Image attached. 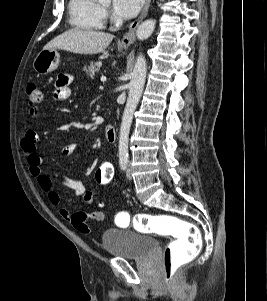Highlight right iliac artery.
<instances>
[{"label": "right iliac artery", "mask_w": 267, "mask_h": 301, "mask_svg": "<svg viewBox=\"0 0 267 301\" xmlns=\"http://www.w3.org/2000/svg\"><path fill=\"white\" fill-rule=\"evenodd\" d=\"M120 167L123 171H125L127 168V162L126 161L120 162Z\"/></svg>", "instance_id": "1"}]
</instances>
